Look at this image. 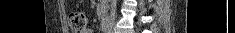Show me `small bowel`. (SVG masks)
Returning <instances> with one entry per match:
<instances>
[{
    "label": "small bowel",
    "mask_w": 235,
    "mask_h": 33,
    "mask_svg": "<svg viewBox=\"0 0 235 33\" xmlns=\"http://www.w3.org/2000/svg\"><path fill=\"white\" fill-rule=\"evenodd\" d=\"M84 33H92V32H91V30H87V31H86V32H84Z\"/></svg>",
    "instance_id": "obj_1"
}]
</instances>
